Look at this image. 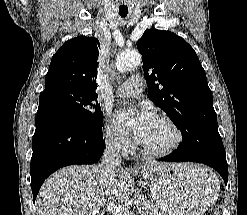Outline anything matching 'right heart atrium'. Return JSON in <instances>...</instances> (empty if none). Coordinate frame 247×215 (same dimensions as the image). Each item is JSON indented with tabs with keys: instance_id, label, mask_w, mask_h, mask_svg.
Returning a JSON list of instances; mask_svg holds the SVG:
<instances>
[{
	"instance_id": "1",
	"label": "right heart atrium",
	"mask_w": 247,
	"mask_h": 215,
	"mask_svg": "<svg viewBox=\"0 0 247 215\" xmlns=\"http://www.w3.org/2000/svg\"><path fill=\"white\" fill-rule=\"evenodd\" d=\"M103 137L106 145L117 152L126 153L131 145L129 137L108 121L103 124Z\"/></svg>"
}]
</instances>
